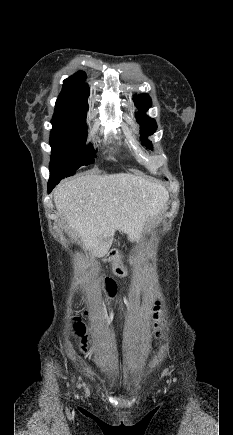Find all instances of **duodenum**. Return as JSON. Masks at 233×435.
<instances>
[{
    "mask_svg": "<svg viewBox=\"0 0 233 435\" xmlns=\"http://www.w3.org/2000/svg\"><path fill=\"white\" fill-rule=\"evenodd\" d=\"M115 258H116V252H110L106 256L105 261L111 262V261L115 260Z\"/></svg>",
    "mask_w": 233,
    "mask_h": 435,
    "instance_id": "1",
    "label": "duodenum"
}]
</instances>
